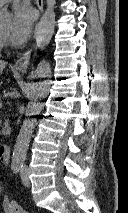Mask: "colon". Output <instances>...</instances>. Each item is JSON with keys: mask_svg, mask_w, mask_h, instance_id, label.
I'll return each instance as SVG.
<instances>
[{"mask_svg": "<svg viewBox=\"0 0 128 213\" xmlns=\"http://www.w3.org/2000/svg\"><path fill=\"white\" fill-rule=\"evenodd\" d=\"M10 213H29L17 204L10 196H7Z\"/></svg>", "mask_w": 128, "mask_h": 213, "instance_id": "colon-1", "label": "colon"}]
</instances>
